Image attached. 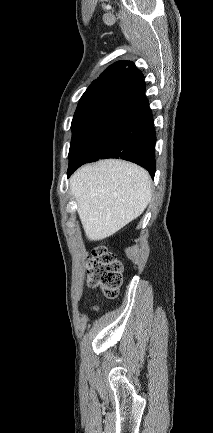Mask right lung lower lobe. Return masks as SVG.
<instances>
[{"label": "right lung lower lobe", "instance_id": "right-lung-lower-lobe-1", "mask_svg": "<svg viewBox=\"0 0 213 433\" xmlns=\"http://www.w3.org/2000/svg\"><path fill=\"white\" fill-rule=\"evenodd\" d=\"M141 79L119 93L87 125L70 147L68 177L81 165L121 158L155 174L156 134Z\"/></svg>", "mask_w": 213, "mask_h": 433}]
</instances>
